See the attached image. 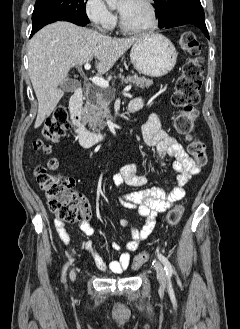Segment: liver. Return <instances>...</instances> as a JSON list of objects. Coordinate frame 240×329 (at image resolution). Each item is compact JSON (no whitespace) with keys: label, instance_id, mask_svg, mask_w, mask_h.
I'll list each match as a JSON object with an SVG mask.
<instances>
[{"label":"liver","instance_id":"obj_1","mask_svg":"<svg viewBox=\"0 0 240 329\" xmlns=\"http://www.w3.org/2000/svg\"><path fill=\"white\" fill-rule=\"evenodd\" d=\"M139 37L115 39L69 22L45 26L28 46L29 76L38 100L35 128L54 111L64 95L60 83L72 67L96 59L99 74L110 70Z\"/></svg>","mask_w":240,"mask_h":329}]
</instances>
